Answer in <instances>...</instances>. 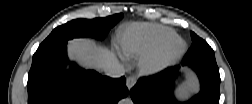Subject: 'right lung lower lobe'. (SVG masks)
<instances>
[{
	"mask_svg": "<svg viewBox=\"0 0 252 104\" xmlns=\"http://www.w3.org/2000/svg\"><path fill=\"white\" fill-rule=\"evenodd\" d=\"M67 42L37 49L28 74L29 104H116L128 95L125 77L113 79L68 62Z\"/></svg>",
	"mask_w": 252,
	"mask_h": 104,
	"instance_id": "obj_1",
	"label": "right lung lower lobe"
}]
</instances>
